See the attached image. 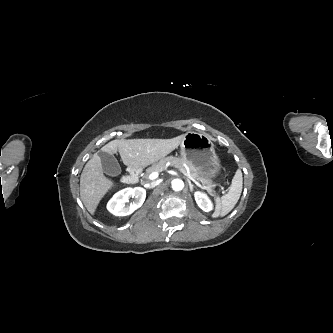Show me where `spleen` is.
I'll return each mask as SVG.
<instances>
[{
  "instance_id": "1",
  "label": "spleen",
  "mask_w": 333,
  "mask_h": 333,
  "mask_svg": "<svg viewBox=\"0 0 333 333\" xmlns=\"http://www.w3.org/2000/svg\"><path fill=\"white\" fill-rule=\"evenodd\" d=\"M243 186V178L242 172L237 170L233 179L232 183L229 187V191L227 194L223 195L222 197L216 196L215 197V211L212 215L213 218H217L219 216L223 217L227 215L232 209L236 206Z\"/></svg>"
}]
</instances>
